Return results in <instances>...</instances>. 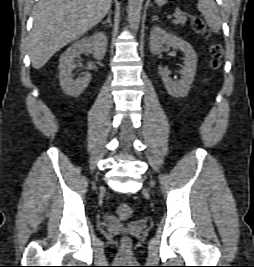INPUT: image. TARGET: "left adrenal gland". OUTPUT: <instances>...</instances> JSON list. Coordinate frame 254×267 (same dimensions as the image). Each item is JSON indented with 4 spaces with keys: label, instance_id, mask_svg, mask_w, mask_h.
Segmentation results:
<instances>
[{
    "label": "left adrenal gland",
    "instance_id": "1",
    "mask_svg": "<svg viewBox=\"0 0 254 267\" xmlns=\"http://www.w3.org/2000/svg\"><path fill=\"white\" fill-rule=\"evenodd\" d=\"M152 20H157L158 21V17L157 16H153Z\"/></svg>",
    "mask_w": 254,
    "mask_h": 267
}]
</instances>
